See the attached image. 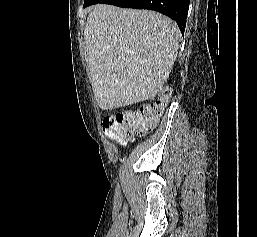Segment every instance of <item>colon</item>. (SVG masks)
<instances>
[{
  "label": "colon",
  "mask_w": 257,
  "mask_h": 237,
  "mask_svg": "<svg viewBox=\"0 0 257 237\" xmlns=\"http://www.w3.org/2000/svg\"><path fill=\"white\" fill-rule=\"evenodd\" d=\"M170 96V89H162L152 101L132 113L117 112L103 121V132L121 140L131 139L153 129L163 113Z\"/></svg>",
  "instance_id": "1"
}]
</instances>
